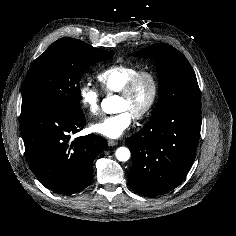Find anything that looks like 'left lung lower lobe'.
Segmentation results:
<instances>
[{
    "label": "left lung lower lobe",
    "mask_w": 236,
    "mask_h": 236,
    "mask_svg": "<svg viewBox=\"0 0 236 236\" xmlns=\"http://www.w3.org/2000/svg\"><path fill=\"white\" fill-rule=\"evenodd\" d=\"M201 130V108L169 111L148 122L126 143L133 165L128 174L130 187L145 197L175 189L189 172Z\"/></svg>",
    "instance_id": "left-lung-lower-lobe-1"
}]
</instances>
